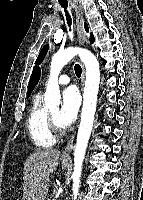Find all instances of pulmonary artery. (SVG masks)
<instances>
[{"label":"pulmonary artery","mask_w":143,"mask_h":200,"mask_svg":"<svg viewBox=\"0 0 143 200\" xmlns=\"http://www.w3.org/2000/svg\"><path fill=\"white\" fill-rule=\"evenodd\" d=\"M69 82H70V78L66 74H62L58 78V83L59 84L65 85V84H68Z\"/></svg>","instance_id":"obj_1"}]
</instances>
